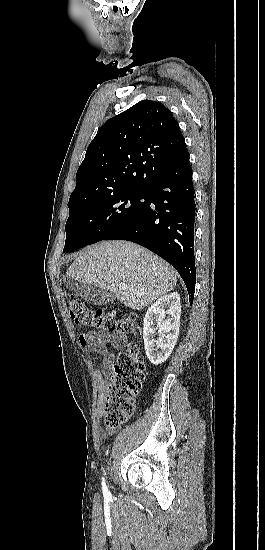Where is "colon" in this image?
I'll use <instances>...</instances> for the list:
<instances>
[{
	"label": "colon",
	"mask_w": 265,
	"mask_h": 550,
	"mask_svg": "<svg viewBox=\"0 0 265 550\" xmlns=\"http://www.w3.org/2000/svg\"><path fill=\"white\" fill-rule=\"evenodd\" d=\"M69 308L75 323L82 327L109 333L140 332L132 313L117 315L113 311L92 309L76 295H70ZM144 378V363L138 357L137 346L131 344L118 353L111 366L104 397V423L108 428L120 427L131 416Z\"/></svg>",
	"instance_id": "1"
}]
</instances>
